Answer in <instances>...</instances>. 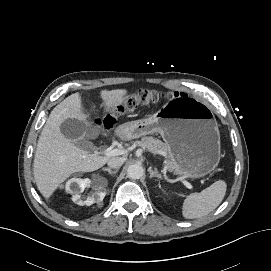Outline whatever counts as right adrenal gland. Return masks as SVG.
Wrapping results in <instances>:
<instances>
[{
    "instance_id": "2a0ac1e0",
    "label": "right adrenal gland",
    "mask_w": 271,
    "mask_h": 271,
    "mask_svg": "<svg viewBox=\"0 0 271 271\" xmlns=\"http://www.w3.org/2000/svg\"><path fill=\"white\" fill-rule=\"evenodd\" d=\"M104 171H107L109 174H116L118 172V169H116L115 171L111 170L110 168H103Z\"/></svg>"
}]
</instances>
